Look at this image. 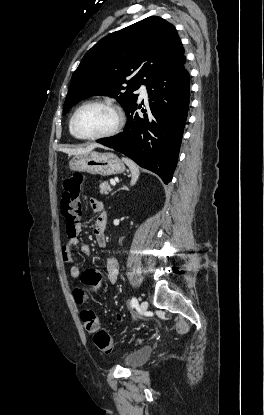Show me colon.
Here are the masks:
<instances>
[{"label":"colon","instance_id":"colon-1","mask_svg":"<svg viewBox=\"0 0 264 415\" xmlns=\"http://www.w3.org/2000/svg\"><path fill=\"white\" fill-rule=\"evenodd\" d=\"M83 175L79 172L73 173L64 181V191L61 200V213L65 219V233L74 237L78 231V222L81 215L82 205L80 201V190L83 183ZM102 282V275L98 270H85L80 275L81 286H75L73 290L77 304L83 305L89 299L88 289H96ZM85 329L94 334V341L97 347L106 354L114 350L112 337L100 329V322L93 310L83 311Z\"/></svg>","mask_w":264,"mask_h":415}]
</instances>
